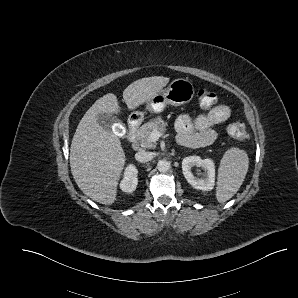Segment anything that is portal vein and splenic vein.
<instances>
[{
	"mask_svg": "<svg viewBox=\"0 0 298 298\" xmlns=\"http://www.w3.org/2000/svg\"><path fill=\"white\" fill-rule=\"evenodd\" d=\"M161 136H162V133H161L159 130H157V129H153V131L150 132L148 138H149V140H150L151 142H156V141H158V139H159Z\"/></svg>",
	"mask_w": 298,
	"mask_h": 298,
	"instance_id": "1",
	"label": "portal vein and splenic vein"
}]
</instances>
